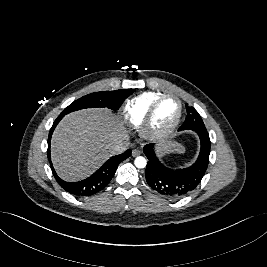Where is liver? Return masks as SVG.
I'll list each match as a JSON object with an SVG mask.
<instances>
[{
    "label": "liver",
    "instance_id": "6515ba94",
    "mask_svg": "<svg viewBox=\"0 0 267 267\" xmlns=\"http://www.w3.org/2000/svg\"><path fill=\"white\" fill-rule=\"evenodd\" d=\"M128 141L118 118L108 109H85L66 115L55 129L51 158L61 178L76 181L92 174L110 156L113 146ZM178 149L169 142L161 151Z\"/></svg>",
    "mask_w": 267,
    "mask_h": 267
}]
</instances>
